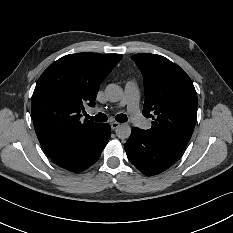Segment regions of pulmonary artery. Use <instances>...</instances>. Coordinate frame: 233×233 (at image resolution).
<instances>
[{
	"label": "pulmonary artery",
	"mask_w": 233,
	"mask_h": 233,
	"mask_svg": "<svg viewBox=\"0 0 233 233\" xmlns=\"http://www.w3.org/2000/svg\"><path fill=\"white\" fill-rule=\"evenodd\" d=\"M139 99L140 92L138 85L135 81H128L124 88L123 101L120 106H127L128 111L131 113L129 119L132 123L137 124L139 129L146 132L150 129L151 124L148 119L141 116L139 112Z\"/></svg>",
	"instance_id": "obj_1"
}]
</instances>
